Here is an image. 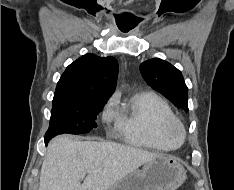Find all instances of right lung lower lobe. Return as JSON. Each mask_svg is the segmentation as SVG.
<instances>
[{
	"label": "right lung lower lobe",
	"mask_w": 234,
	"mask_h": 190,
	"mask_svg": "<svg viewBox=\"0 0 234 190\" xmlns=\"http://www.w3.org/2000/svg\"><path fill=\"white\" fill-rule=\"evenodd\" d=\"M49 140H50V139H45V145L48 144Z\"/></svg>",
	"instance_id": "98d812e1"
}]
</instances>
